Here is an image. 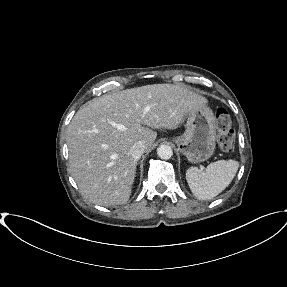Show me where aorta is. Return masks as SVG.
I'll return each instance as SVG.
<instances>
[{"mask_svg": "<svg viewBox=\"0 0 287 287\" xmlns=\"http://www.w3.org/2000/svg\"><path fill=\"white\" fill-rule=\"evenodd\" d=\"M157 155L164 160L170 159L173 155L171 146L162 144L157 148Z\"/></svg>", "mask_w": 287, "mask_h": 287, "instance_id": "1", "label": "aorta"}]
</instances>
